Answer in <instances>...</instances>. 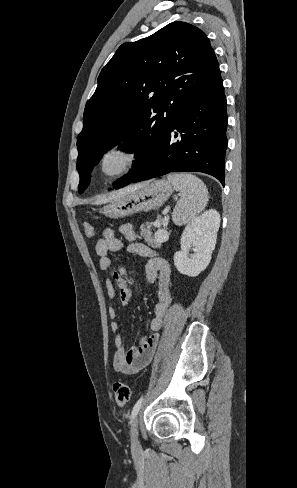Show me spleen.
Instances as JSON below:
<instances>
[{
	"label": "spleen",
	"mask_w": 297,
	"mask_h": 488,
	"mask_svg": "<svg viewBox=\"0 0 297 488\" xmlns=\"http://www.w3.org/2000/svg\"><path fill=\"white\" fill-rule=\"evenodd\" d=\"M167 178L180 192V199L173 212V221L177 225L186 224L206 207L207 188L199 178L191 174H171Z\"/></svg>",
	"instance_id": "obj_1"
}]
</instances>
